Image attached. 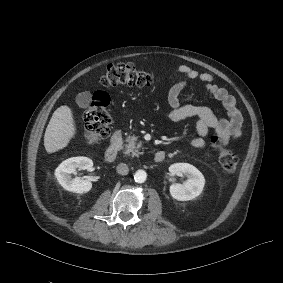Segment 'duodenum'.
<instances>
[{
  "label": "duodenum",
  "instance_id": "1",
  "mask_svg": "<svg viewBox=\"0 0 283 283\" xmlns=\"http://www.w3.org/2000/svg\"><path fill=\"white\" fill-rule=\"evenodd\" d=\"M121 145H122V135H121V132L117 130L112 135L110 144L105 151V160L107 162H113L116 159L121 149ZM165 157L166 155L164 151H157L154 154V161L157 163L163 162Z\"/></svg>",
  "mask_w": 283,
  "mask_h": 283
}]
</instances>
